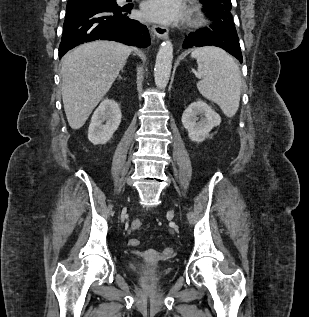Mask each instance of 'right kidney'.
<instances>
[{
    "instance_id": "right-kidney-1",
    "label": "right kidney",
    "mask_w": 309,
    "mask_h": 317,
    "mask_svg": "<svg viewBox=\"0 0 309 317\" xmlns=\"http://www.w3.org/2000/svg\"><path fill=\"white\" fill-rule=\"evenodd\" d=\"M121 117L117 102L113 99H104L91 118L88 129L89 141L94 145L107 143L118 129Z\"/></svg>"
}]
</instances>
